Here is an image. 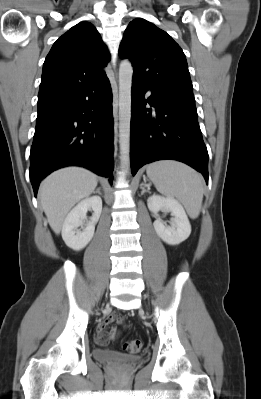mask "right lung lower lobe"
Segmentation results:
<instances>
[{"mask_svg": "<svg viewBox=\"0 0 261 399\" xmlns=\"http://www.w3.org/2000/svg\"><path fill=\"white\" fill-rule=\"evenodd\" d=\"M70 165L86 167L113 182L112 93L107 76L38 101L29 168L34 195L44 177Z\"/></svg>", "mask_w": 261, "mask_h": 399, "instance_id": "1", "label": "right lung lower lobe"}]
</instances>
